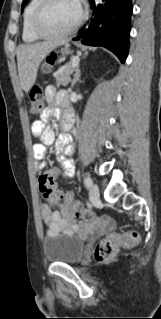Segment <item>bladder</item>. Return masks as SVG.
Here are the masks:
<instances>
[{"mask_svg":"<svg viewBox=\"0 0 161 319\" xmlns=\"http://www.w3.org/2000/svg\"><path fill=\"white\" fill-rule=\"evenodd\" d=\"M85 250V241L75 234L47 235L43 239V254L48 262L75 264Z\"/></svg>","mask_w":161,"mask_h":319,"instance_id":"bladder-1","label":"bladder"}]
</instances>
